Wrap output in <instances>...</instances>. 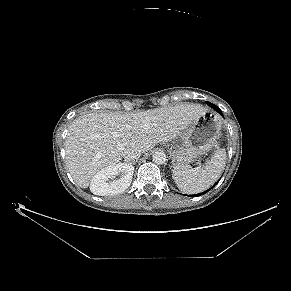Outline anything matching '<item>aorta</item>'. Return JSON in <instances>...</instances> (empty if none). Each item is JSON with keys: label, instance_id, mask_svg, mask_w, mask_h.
<instances>
[{"label": "aorta", "instance_id": "762f6f07", "mask_svg": "<svg viewBox=\"0 0 291 291\" xmlns=\"http://www.w3.org/2000/svg\"><path fill=\"white\" fill-rule=\"evenodd\" d=\"M153 161L157 165H162L166 162V155L164 152H155L153 154Z\"/></svg>", "mask_w": 291, "mask_h": 291}]
</instances>
